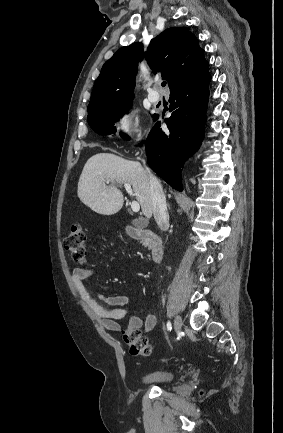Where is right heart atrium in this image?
Segmentation results:
<instances>
[{
	"mask_svg": "<svg viewBox=\"0 0 283 433\" xmlns=\"http://www.w3.org/2000/svg\"><path fill=\"white\" fill-rule=\"evenodd\" d=\"M115 135L129 145L139 144L144 139L140 112L137 108L124 110L113 122Z\"/></svg>",
	"mask_w": 283,
	"mask_h": 433,
	"instance_id": "1",
	"label": "right heart atrium"
}]
</instances>
